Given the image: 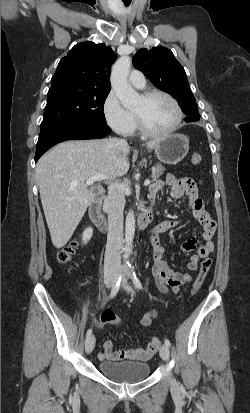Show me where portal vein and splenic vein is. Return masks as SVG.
I'll use <instances>...</instances> for the list:
<instances>
[{
  "label": "portal vein and splenic vein",
  "mask_w": 250,
  "mask_h": 413,
  "mask_svg": "<svg viewBox=\"0 0 250 413\" xmlns=\"http://www.w3.org/2000/svg\"><path fill=\"white\" fill-rule=\"evenodd\" d=\"M107 179H108L107 176H104V175H96V176H93V177H91V178H88V179L86 180V185H87V186H90V185L93 184L94 182L101 181V180H107ZM149 184H150V180H149V179H147V180L144 181V186H148Z\"/></svg>",
  "instance_id": "obj_1"
}]
</instances>
